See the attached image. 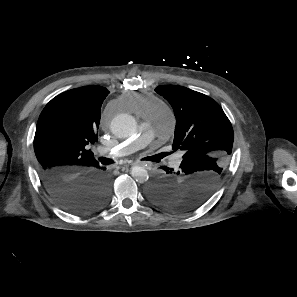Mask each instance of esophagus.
Listing matches in <instances>:
<instances>
[{"label":"esophagus","instance_id":"obj_1","mask_svg":"<svg viewBox=\"0 0 297 297\" xmlns=\"http://www.w3.org/2000/svg\"><path fill=\"white\" fill-rule=\"evenodd\" d=\"M132 165H145V162L137 161V162L132 163Z\"/></svg>","mask_w":297,"mask_h":297}]
</instances>
